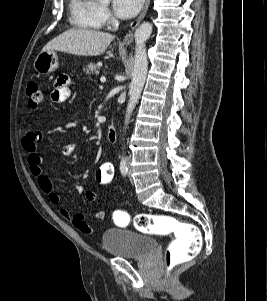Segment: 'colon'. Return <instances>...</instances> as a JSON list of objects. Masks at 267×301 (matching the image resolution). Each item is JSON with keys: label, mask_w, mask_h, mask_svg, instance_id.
Returning <instances> with one entry per match:
<instances>
[{"label": "colon", "mask_w": 267, "mask_h": 301, "mask_svg": "<svg viewBox=\"0 0 267 301\" xmlns=\"http://www.w3.org/2000/svg\"><path fill=\"white\" fill-rule=\"evenodd\" d=\"M26 91L31 105L37 106L43 101V93L35 82L29 83ZM113 178L114 168L109 162H103L95 172V182L101 188H108ZM113 219L117 224L126 225L130 221V215L127 211L117 210ZM133 222L135 228L142 233L174 236L165 253L168 272L193 259L200 250V232L193 224L179 221L172 216L149 213L137 214Z\"/></svg>", "instance_id": "obj_1"}]
</instances>
